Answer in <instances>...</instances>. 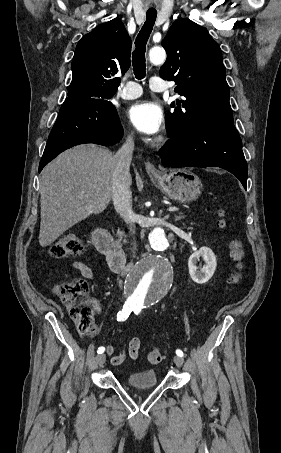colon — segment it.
<instances>
[{"instance_id":"colon-1","label":"colon","mask_w":281,"mask_h":453,"mask_svg":"<svg viewBox=\"0 0 281 453\" xmlns=\"http://www.w3.org/2000/svg\"><path fill=\"white\" fill-rule=\"evenodd\" d=\"M228 218L223 210L218 214L215 226L219 230L227 227ZM232 258L234 262L233 285L236 289L241 283V277L245 268V254L241 242L234 239L230 243ZM87 254L86 247L75 238H61L54 240L48 247V255L52 260L63 261L73 257H84ZM62 295L66 306L74 313L77 319L79 331L92 329L91 310L83 303V298L88 292V283L83 278H76L63 283ZM145 358L150 363H162L163 355L158 349L145 351Z\"/></svg>"}]
</instances>
